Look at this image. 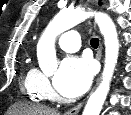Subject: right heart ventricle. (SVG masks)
I'll list each match as a JSON object with an SVG mask.
<instances>
[{"label":"right heart ventricle","instance_id":"e07e8e85","mask_svg":"<svg viewBox=\"0 0 131 115\" xmlns=\"http://www.w3.org/2000/svg\"><path fill=\"white\" fill-rule=\"evenodd\" d=\"M41 73L32 65H26L21 76L22 92L31 100H38L43 97L39 87L38 81Z\"/></svg>","mask_w":131,"mask_h":115}]
</instances>
